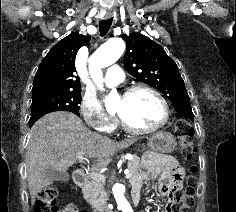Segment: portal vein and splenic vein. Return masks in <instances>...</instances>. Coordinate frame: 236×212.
<instances>
[{
	"label": "portal vein and splenic vein",
	"mask_w": 236,
	"mask_h": 212,
	"mask_svg": "<svg viewBox=\"0 0 236 212\" xmlns=\"http://www.w3.org/2000/svg\"><path fill=\"white\" fill-rule=\"evenodd\" d=\"M77 158H78V160L80 162H83V160L85 159L81 154H77ZM124 173L126 175V178H130L131 177V174H130L129 170H125ZM90 177L92 179H95V180H105L104 175H101L100 173H97V172H91L90 173Z\"/></svg>",
	"instance_id": "18ae733b"
}]
</instances>
